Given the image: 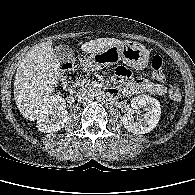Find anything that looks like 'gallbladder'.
I'll return each mask as SVG.
<instances>
[{"mask_svg": "<svg viewBox=\"0 0 195 195\" xmlns=\"http://www.w3.org/2000/svg\"><path fill=\"white\" fill-rule=\"evenodd\" d=\"M54 52L61 63H67L74 59V51L68 45H57L54 49Z\"/></svg>", "mask_w": 195, "mask_h": 195, "instance_id": "obj_1", "label": "gallbladder"}]
</instances>
